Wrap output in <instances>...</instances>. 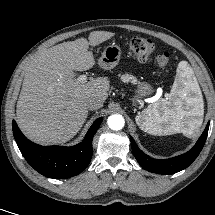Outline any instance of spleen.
<instances>
[{"mask_svg":"<svg viewBox=\"0 0 215 215\" xmlns=\"http://www.w3.org/2000/svg\"><path fill=\"white\" fill-rule=\"evenodd\" d=\"M203 115V97L194 72L186 61H181L168 97L150 104L135 120L152 135L181 132L191 138L201 127Z\"/></svg>","mask_w":215,"mask_h":215,"instance_id":"3e777b00","label":"spleen"}]
</instances>
